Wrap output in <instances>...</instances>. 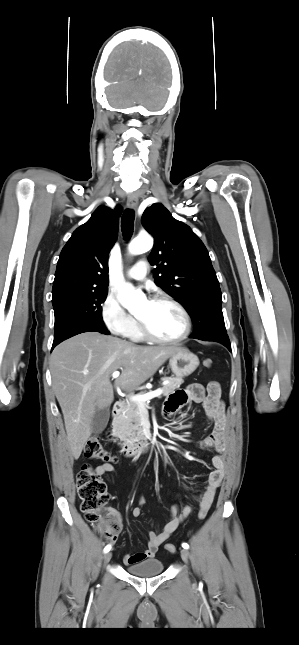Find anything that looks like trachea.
<instances>
[{"label": "trachea", "mask_w": 299, "mask_h": 645, "mask_svg": "<svg viewBox=\"0 0 299 645\" xmlns=\"http://www.w3.org/2000/svg\"><path fill=\"white\" fill-rule=\"evenodd\" d=\"M135 213L131 209L125 210L121 219V228L126 240L130 239L134 230Z\"/></svg>", "instance_id": "trachea-1"}]
</instances>
